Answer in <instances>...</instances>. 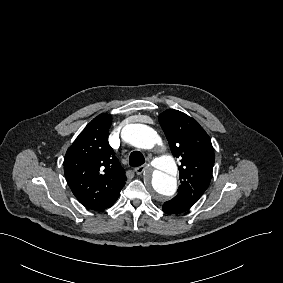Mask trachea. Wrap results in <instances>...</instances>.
I'll use <instances>...</instances> for the list:
<instances>
[{"mask_svg": "<svg viewBox=\"0 0 283 283\" xmlns=\"http://www.w3.org/2000/svg\"><path fill=\"white\" fill-rule=\"evenodd\" d=\"M145 163V158L140 151H133L129 156V165L139 167Z\"/></svg>", "mask_w": 283, "mask_h": 283, "instance_id": "1", "label": "trachea"}]
</instances>
